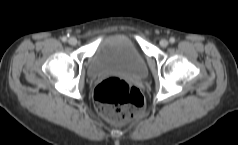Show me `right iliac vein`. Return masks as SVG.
I'll return each mask as SVG.
<instances>
[{"label":"right iliac vein","instance_id":"obj_1","mask_svg":"<svg viewBox=\"0 0 238 145\" xmlns=\"http://www.w3.org/2000/svg\"><path fill=\"white\" fill-rule=\"evenodd\" d=\"M68 42L72 46H75L78 43V41L75 37L70 38Z\"/></svg>","mask_w":238,"mask_h":145}]
</instances>
